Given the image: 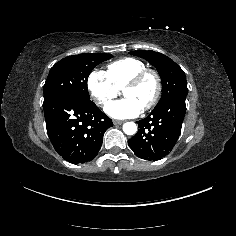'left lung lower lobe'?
Masks as SVG:
<instances>
[{
  "label": "left lung lower lobe",
  "mask_w": 236,
  "mask_h": 236,
  "mask_svg": "<svg viewBox=\"0 0 236 236\" xmlns=\"http://www.w3.org/2000/svg\"><path fill=\"white\" fill-rule=\"evenodd\" d=\"M186 95L175 96L156 106L138 121L139 130L128 140L134 154L144 160L156 161L166 156L176 144L186 113Z\"/></svg>",
  "instance_id": "1"
}]
</instances>
